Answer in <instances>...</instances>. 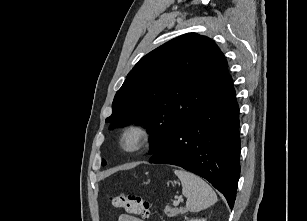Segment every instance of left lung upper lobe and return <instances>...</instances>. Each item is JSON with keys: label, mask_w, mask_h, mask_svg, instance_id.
<instances>
[{"label": "left lung upper lobe", "mask_w": 307, "mask_h": 221, "mask_svg": "<svg viewBox=\"0 0 307 221\" xmlns=\"http://www.w3.org/2000/svg\"><path fill=\"white\" fill-rule=\"evenodd\" d=\"M231 82L227 61L215 42L187 33L139 60L117 91L106 122H112L111 127L130 122L150 126L149 153L155 155Z\"/></svg>", "instance_id": "obj_1"}]
</instances>
